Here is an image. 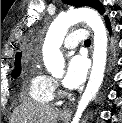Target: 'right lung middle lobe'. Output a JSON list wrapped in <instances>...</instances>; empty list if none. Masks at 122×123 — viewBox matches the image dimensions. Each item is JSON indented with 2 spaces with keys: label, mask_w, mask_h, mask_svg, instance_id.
<instances>
[{
  "label": "right lung middle lobe",
  "mask_w": 122,
  "mask_h": 123,
  "mask_svg": "<svg viewBox=\"0 0 122 123\" xmlns=\"http://www.w3.org/2000/svg\"><path fill=\"white\" fill-rule=\"evenodd\" d=\"M21 72V65L15 67V69L12 71V77L17 78L20 75Z\"/></svg>",
  "instance_id": "obj_1"
}]
</instances>
